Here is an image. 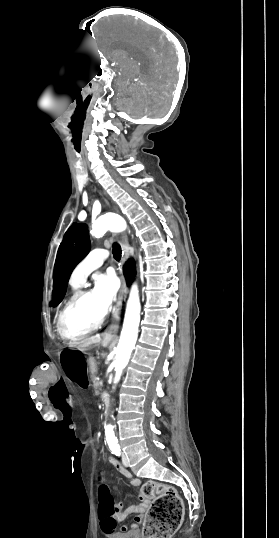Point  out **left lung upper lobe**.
Returning <instances> with one entry per match:
<instances>
[{
  "instance_id": "5c2ea615",
  "label": "left lung upper lobe",
  "mask_w": 279,
  "mask_h": 538,
  "mask_svg": "<svg viewBox=\"0 0 279 538\" xmlns=\"http://www.w3.org/2000/svg\"><path fill=\"white\" fill-rule=\"evenodd\" d=\"M90 240L86 224L73 223L61 243L54 271L53 299L50 306L58 305L67 290V283L75 266L88 254Z\"/></svg>"
}]
</instances>
